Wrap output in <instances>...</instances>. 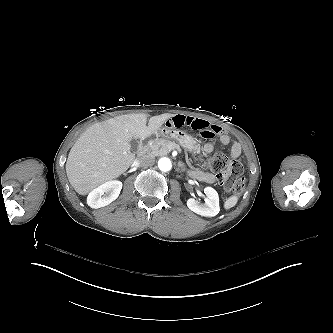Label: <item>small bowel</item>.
<instances>
[{"label": "small bowel", "mask_w": 333, "mask_h": 333, "mask_svg": "<svg viewBox=\"0 0 333 333\" xmlns=\"http://www.w3.org/2000/svg\"><path fill=\"white\" fill-rule=\"evenodd\" d=\"M166 126L169 129L186 127L197 131V134L204 138L207 137L214 138L219 136L220 142L223 145H227L231 141L230 134L224 131L220 126L212 124L207 120L195 116L183 115V114L173 115L167 119ZM213 150L214 146L211 143H207L203 147V151L207 154L212 153ZM241 153H242V147L240 143L233 142L230 149V158L232 160H236L237 158H239ZM190 175L195 179L207 183H213L215 181L214 175L200 170H193L190 172Z\"/></svg>", "instance_id": "c3829d8e"}]
</instances>
